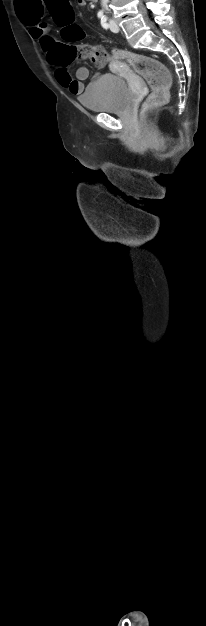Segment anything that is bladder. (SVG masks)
<instances>
[{"instance_id": "obj_1", "label": "bladder", "mask_w": 206, "mask_h": 626, "mask_svg": "<svg viewBox=\"0 0 206 626\" xmlns=\"http://www.w3.org/2000/svg\"><path fill=\"white\" fill-rule=\"evenodd\" d=\"M79 102L93 112H124L130 105L131 93L123 78L103 75L86 88L79 96Z\"/></svg>"}]
</instances>
